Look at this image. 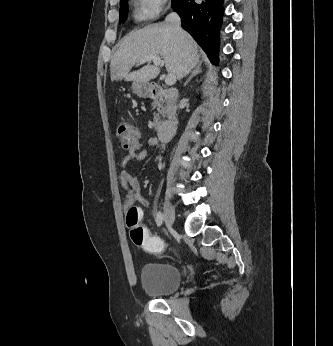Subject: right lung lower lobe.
Masks as SVG:
<instances>
[{
	"mask_svg": "<svg viewBox=\"0 0 333 346\" xmlns=\"http://www.w3.org/2000/svg\"><path fill=\"white\" fill-rule=\"evenodd\" d=\"M172 8L182 18V28L196 40L209 59L218 63L219 30L224 7L223 0H172Z\"/></svg>",
	"mask_w": 333,
	"mask_h": 346,
	"instance_id": "right-lung-lower-lobe-1",
	"label": "right lung lower lobe"
}]
</instances>
